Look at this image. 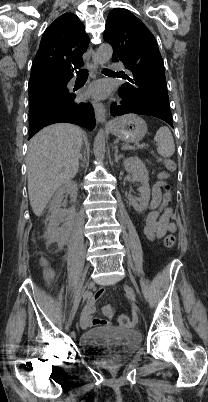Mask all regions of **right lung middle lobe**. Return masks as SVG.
Here are the masks:
<instances>
[{
	"label": "right lung middle lobe",
	"mask_w": 208,
	"mask_h": 402,
	"mask_svg": "<svg viewBox=\"0 0 208 402\" xmlns=\"http://www.w3.org/2000/svg\"><path fill=\"white\" fill-rule=\"evenodd\" d=\"M69 80H61V84L47 83L36 90H29V125L44 112L68 106L73 102L75 96L69 93L66 87Z\"/></svg>",
	"instance_id": "obj_1"
}]
</instances>
